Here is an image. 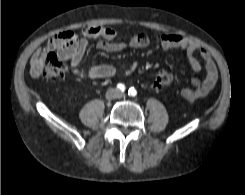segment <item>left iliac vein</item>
<instances>
[{"label":"left iliac vein","mask_w":245,"mask_h":195,"mask_svg":"<svg viewBox=\"0 0 245 195\" xmlns=\"http://www.w3.org/2000/svg\"><path fill=\"white\" fill-rule=\"evenodd\" d=\"M124 94L123 93H119V96H123Z\"/></svg>","instance_id":"4c4485c4"}]
</instances>
